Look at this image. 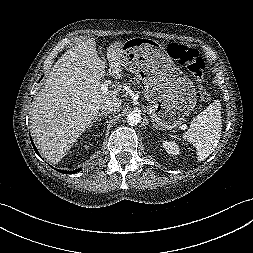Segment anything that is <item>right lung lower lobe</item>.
I'll list each match as a JSON object with an SVG mask.
<instances>
[{"label":"right lung lower lobe","instance_id":"98d812e1","mask_svg":"<svg viewBox=\"0 0 253 253\" xmlns=\"http://www.w3.org/2000/svg\"><path fill=\"white\" fill-rule=\"evenodd\" d=\"M32 145H33V148H34L35 152L39 155L38 150H37V148L35 147L33 141H32ZM39 156H40V155H39ZM56 170H57V169H56ZM80 170H81V168L76 169V170H73V171H62V170H57V171H59V172H61V173H65V174H72V173H77V172H79Z\"/></svg>","mask_w":253,"mask_h":253}]
</instances>
